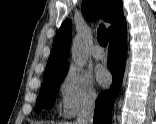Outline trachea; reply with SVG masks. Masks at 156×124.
Masks as SVG:
<instances>
[{
    "instance_id": "3493384b",
    "label": "trachea",
    "mask_w": 156,
    "mask_h": 124,
    "mask_svg": "<svg viewBox=\"0 0 156 124\" xmlns=\"http://www.w3.org/2000/svg\"><path fill=\"white\" fill-rule=\"evenodd\" d=\"M97 40L99 44L103 47H106L108 44V32L104 25H100L97 31Z\"/></svg>"
}]
</instances>
